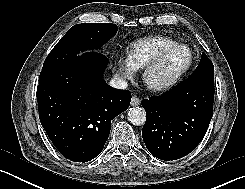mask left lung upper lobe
Here are the masks:
<instances>
[{
    "instance_id": "left-lung-upper-lobe-1",
    "label": "left lung upper lobe",
    "mask_w": 245,
    "mask_h": 189,
    "mask_svg": "<svg viewBox=\"0 0 245 189\" xmlns=\"http://www.w3.org/2000/svg\"><path fill=\"white\" fill-rule=\"evenodd\" d=\"M194 74H203L214 79L213 63L204 53H202L200 63L195 69Z\"/></svg>"
}]
</instances>
